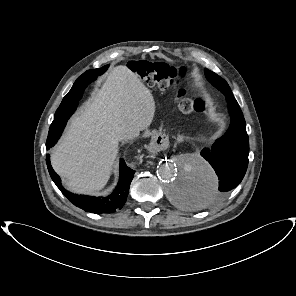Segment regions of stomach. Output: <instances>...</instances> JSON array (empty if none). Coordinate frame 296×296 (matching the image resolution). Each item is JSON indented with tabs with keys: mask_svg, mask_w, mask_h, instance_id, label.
<instances>
[{
	"mask_svg": "<svg viewBox=\"0 0 296 296\" xmlns=\"http://www.w3.org/2000/svg\"><path fill=\"white\" fill-rule=\"evenodd\" d=\"M155 138L150 141L149 148L153 152H158L162 148V139L166 137V130L163 127H156L154 129Z\"/></svg>",
	"mask_w": 296,
	"mask_h": 296,
	"instance_id": "obj_1",
	"label": "stomach"
}]
</instances>
